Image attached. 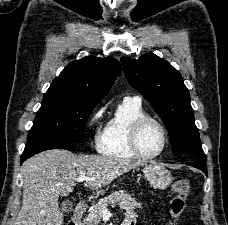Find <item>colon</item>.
Segmentation results:
<instances>
[{
  "label": "colon",
  "mask_w": 228,
  "mask_h": 225,
  "mask_svg": "<svg viewBox=\"0 0 228 225\" xmlns=\"http://www.w3.org/2000/svg\"><path fill=\"white\" fill-rule=\"evenodd\" d=\"M190 192V182L187 179L176 180L172 187V200L170 202V215L179 218L185 209L186 200Z\"/></svg>",
  "instance_id": "colon-1"
}]
</instances>
